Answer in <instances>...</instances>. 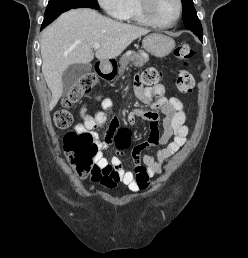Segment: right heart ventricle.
<instances>
[{"label":"right heart ventricle","instance_id":"e07e8e85","mask_svg":"<svg viewBox=\"0 0 248 258\" xmlns=\"http://www.w3.org/2000/svg\"><path fill=\"white\" fill-rule=\"evenodd\" d=\"M121 19L138 24L149 25L141 14L139 0H128L126 12Z\"/></svg>","mask_w":248,"mask_h":258}]
</instances>
